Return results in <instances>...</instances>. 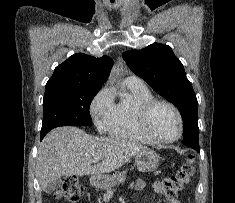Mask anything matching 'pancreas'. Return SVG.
<instances>
[{
  "label": "pancreas",
  "mask_w": 235,
  "mask_h": 203,
  "mask_svg": "<svg viewBox=\"0 0 235 203\" xmlns=\"http://www.w3.org/2000/svg\"><path fill=\"white\" fill-rule=\"evenodd\" d=\"M114 191L115 190L112 189L107 190V192L103 195V200L109 201L112 198Z\"/></svg>",
  "instance_id": "obj_1"
}]
</instances>
